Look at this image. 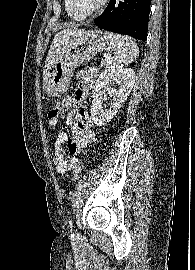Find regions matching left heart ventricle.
Segmentation results:
<instances>
[{
	"label": "left heart ventricle",
	"mask_w": 195,
	"mask_h": 270,
	"mask_svg": "<svg viewBox=\"0 0 195 270\" xmlns=\"http://www.w3.org/2000/svg\"><path fill=\"white\" fill-rule=\"evenodd\" d=\"M101 0H73L76 9L81 13L92 11Z\"/></svg>",
	"instance_id": "b2bd125f"
}]
</instances>
